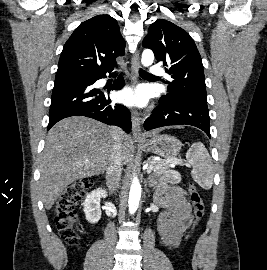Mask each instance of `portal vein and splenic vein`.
Masks as SVG:
<instances>
[{"instance_id":"portal-vein-and-splenic-vein-1","label":"portal vein and splenic vein","mask_w":267,"mask_h":270,"mask_svg":"<svg viewBox=\"0 0 267 270\" xmlns=\"http://www.w3.org/2000/svg\"><path fill=\"white\" fill-rule=\"evenodd\" d=\"M167 164H170L171 166H175L177 164H182V160L181 159H178V158H172V159H168L165 161ZM143 169L144 170H147V173H150L151 172V167H149V165L146 163L143 165Z\"/></svg>"}]
</instances>
